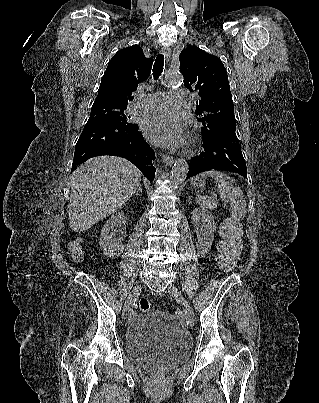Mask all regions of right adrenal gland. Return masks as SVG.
Listing matches in <instances>:
<instances>
[{"mask_svg": "<svg viewBox=\"0 0 319 403\" xmlns=\"http://www.w3.org/2000/svg\"><path fill=\"white\" fill-rule=\"evenodd\" d=\"M137 191H142V185L140 184Z\"/></svg>", "mask_w": 319, "mask_h": 403, "instance_id": "1", "label": "right adrenal gland"}]
</instances>
